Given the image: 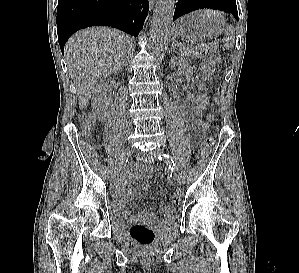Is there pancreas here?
<instances>
[{
	"label": "pancreas",
	"mask_w": 299,
	"mask_h": 273,
	"mask_svg": "<svg viewBox=\"0 0 299 273\" xmlns=\"http://www.w3.org/2000/svg\"><path fill=\"white\" fill-rule=\"evenodd\" d=\"M178 47H179V51L184 56L193 58L199 55L198 53L195 52L194 47L188 43H179Z\"/></svg>",
	"instance_id": "pancreas-1"
}]
</instances>
